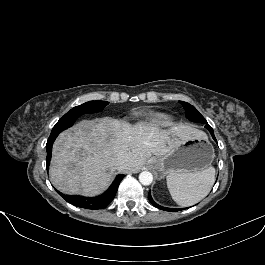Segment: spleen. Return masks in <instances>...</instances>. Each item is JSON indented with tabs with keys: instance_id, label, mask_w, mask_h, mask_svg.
I'll use <instances>...</instances> for the list:
<instances>
[{
	"instance_id": "obj_1",
	"label": "spleen",
	"mask_w": 265,
	"mask_h": 265,
	"mask_svg": "<svg viewBox=\"0 0 265 265\" xmlns=\"http://www.w3.org/2000/svg\"><path fill=\"white\" fill-rule=\"evenodd\" d=\"M166 180L173 200L182 207H188L209 193L215 181V168L193 173H172L167 175Z\"/></svg>"
}]
</instances>
